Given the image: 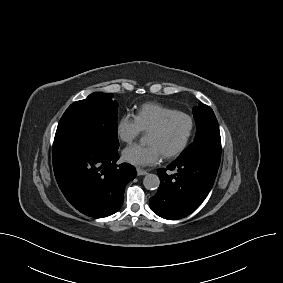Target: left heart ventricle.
<instances>
[{"instance_id":"obj_1","label":"left heart ventricle","mask_w":283,"mask_h":283,"mask_svg":"<svg viewBox=\"0 0 283 283\" xmlns=\"http://www.w3.org/2000/svg\"><path fill=\"white\" fill-rule=\"evenodd\" d=\"M189 129L188 121L184 118L173 119L166 129L160 133H148V144L156 145L162 154L175 150L185 139Z\"/></svg>"}]
</instances>
